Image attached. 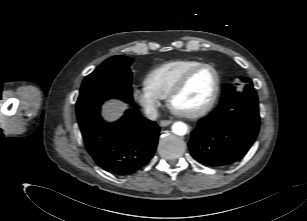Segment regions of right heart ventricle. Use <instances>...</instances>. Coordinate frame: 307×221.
Instances as JSON below:
<instances>
[{
  "instance_id": "obj_1",
  "label": "right heart ventricle",
  "mask_w": 307,
  "mask_h": 221,
  "mask_svg": "<svg viewBox=\"0 0 307 221\" xmlns=\"http://www.w3.org/2000/svg\"><path fill=\"white\" fill-rule=\"evenodd\" d=\"M202 64L197 60H174L150 70L144 78L145 88L160 99L167 98L180 78L192 68Z\"/></svg>"
}]
</instances>
